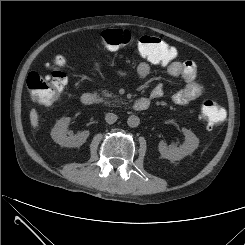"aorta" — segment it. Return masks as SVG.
I'll list each match as a JSON object with an SVG mask.
<instances>
[{
    "label": "aorta",
    "instance_id": "762f6f07",
    "mask_svg": "<svg viewBox=\"0 0 245 245\" xmlns=\"http://www.w3.org/2000/svg\"><path fill=\"white\" fill-rule=\"evenodd\" d=\"M127 124L129 127H132V128L137 127L140 124V119L136 115H131L127 119Z\"/></svg>",
    "mask_w": 245,
    "mask_h": 245
}]
</instances>
